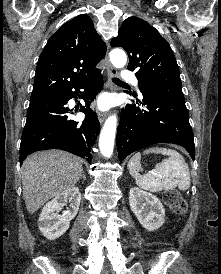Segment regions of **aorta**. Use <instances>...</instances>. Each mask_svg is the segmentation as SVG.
I'll list each match as a JSON object with an SVG mask.
<instances>
[{"label":"aorta","instance_id":"aorta-1","mask_svg":"<svg viewBox=\"0 0 221 274\" xmlns=\"http://www.w3.org/2000/svg\"><path fill=\"white\" fill-rule=\"evenodd\" d=\"M110 61L114 67L123 68L127 62L126 53L122 49H114L110 52ZM116 127L117 116L113 114L106 119L99 138V148L105 157L113 153Z\"/></svg>","mask_w":221,"mask_h":274}]
</instances>
